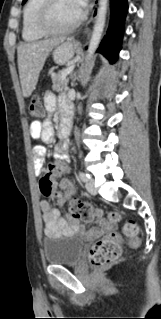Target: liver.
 I'll use <instances>...</instances> for the list:
<instances>
[{
  "instance_id": "liver-1",
  "label": "liver",
  "mask_w": 161,
  "mask_h": 319,
  "mask_svg": "<svg viewBox=\"0 0 161 319\" xmlns=\"http://www.w3.org/2000/svg\"><path fill=\"white\" fill-rule=\"evenodd\" d=\"M60 42L61 39H47L18 45V69L24 97H29L35 89L49 52Z\"/></svg>"
}]
</instances>
